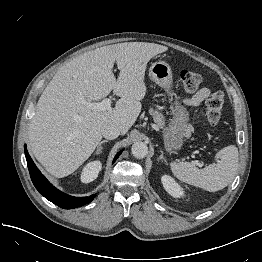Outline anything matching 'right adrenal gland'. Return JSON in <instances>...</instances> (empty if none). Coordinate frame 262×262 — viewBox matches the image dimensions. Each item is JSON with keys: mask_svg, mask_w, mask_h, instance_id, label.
<instances>
[{"mask_svg": "<svg viewBox=\"0 0 262 262\" xmlns=\"http://www.w3.org/2000/svg\"><path fill=\"white\" fill-rule=\"evenodd\" d=\"M106 142H108V140H103V141H101L100 143H99V146H98V148H97V150H96V154H99V153H102V150H103V147H102V144H104V143H106Z\"/></svg>", "mask_w": 262, "mask_h": 262, "instance_id": "1", "label": "right adrenal gland"}]
</instances>
